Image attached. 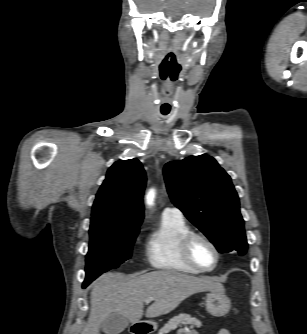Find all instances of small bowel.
<instances>
[{
    "label": "small bowel",
    "instance_id": "1",
    "mask_svg": "<svg viewBox=\"0 0 307 334\" xmlns=\"http://www.w3.org/2000/svg\"><path fill=\"white\" fill-rule=\"evenodd\" d=\"M217 334H230V332H229L227 329H225V328H221V329L217 332Z\"/></svg>",
    "mask_w": 307,
    "mask_h": 334
}]
</instances>
